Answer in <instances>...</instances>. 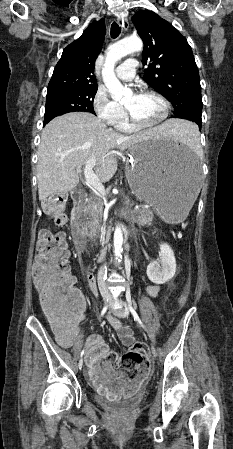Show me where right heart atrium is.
Masks as SVG:
<instances>
[{
	"instance_id": "obj_1",
	"label": "right heart atrium",
	"mask_w": 233,
	"mask_h": 449,
	"mask_svg": "<svg viewBox=\"0 0 233 449\" xmlns=\"http://www.w3.org/2000/svg\"><path fill=\"white\" fill-rule=\"evenodd\" d=\"M93 110L101 121L114 125L124 112V108L111 99L106 89L99 87L92 99Z\"/></svg>"
}]
</instances>
